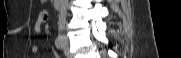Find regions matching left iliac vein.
<instances>
[{
  "mask_svg": "<svg viewBox=\"0 0 181 58\" xmlns=\"http://www.w3.org/2000/svg\"><path fill=\"white\" fill-rule=\"evenodd\" d=\"M63 51L67 57H70V52H69L68 43H67L66 38H64Z\"/></svg>",
  "mask_w": 181,
  "mask_h": 58,
  "instance_id": "obj_1",
  "label": "left iliac vein"
}]
</instances>
